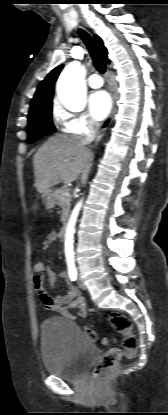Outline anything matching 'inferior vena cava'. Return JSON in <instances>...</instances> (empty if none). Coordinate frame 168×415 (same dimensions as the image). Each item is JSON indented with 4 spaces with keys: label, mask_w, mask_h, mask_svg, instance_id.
<instances>
[{
    "label": "inferior vena cava",
    "mask_w": 168,
    "mask_h": 415,
    "mask_svg": "<svg viewBox=\"0 0 168 415\" xmlns=\"http://www.w3.org/2000/svg\"><path fill=\"white\" fill-rule=\"evenodd\" d=\"M99 129V124L96 122H91L89 124V131L88 133L82 138V142L85 145L90 144L96 137L97 131Z\"/></svg>",
    "instance_id": "1"
}]
</instances>
